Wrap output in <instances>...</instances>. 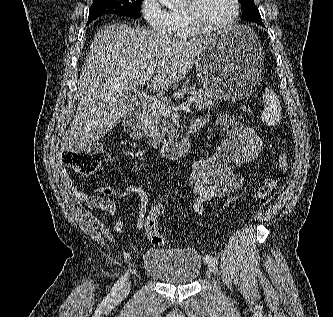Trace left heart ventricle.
<instances>
[{
  "instance_id": "1",
  "label": "left heart ventricle",
  "mask_w": 333,
  "mask_h": 317,
  "mask_svg": "<svg viewBox=\"0 0 333 317\" xmlns=\"http://www.w3.org/2000/svg\"><path fill=\"white\" fill-rule=\"evenodd\" d=\"M234 11L232 0H201L199 6L200 19L208 25L225 22Z\"/></svg>"
}]
</instances>
